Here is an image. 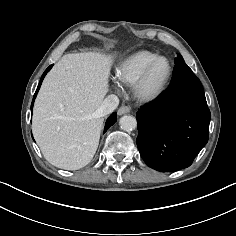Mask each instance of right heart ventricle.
Instances as JSON below:
<instances>
[{
    "label": "right heart ventricle",
    "mask_w": 236,
    "mask_h": 236,
    "mask_svg": "<svg viewBox=\"0 0 236 236\" xmlns=\"http://www.w3.org/2000/svg\"><path fill=\"white\" fill-rule=\"evenodd\" d=\"M159 55L149 50H139L125 58L116 68L117 78L126 85H132L144 69Z\"/></svg>",
    "instance_id": "right-heart-ventricle-1"
}]
</instances>
